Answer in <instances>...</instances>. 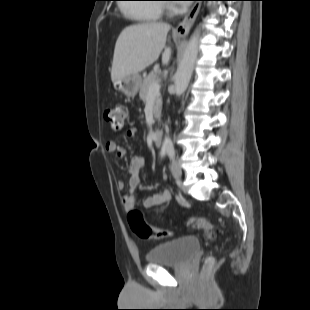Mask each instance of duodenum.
<instances>
[{
  "instance_id": "1",
  "label": "duodenum",
  "mask_w": 310,
  "mask_h": 310,
  "mask_svg": "<svg viewBox=\"0 0 310 310\" xmlns=\"http://www.w3.org/2000/svg\"><path fill=\"white\" fill-rule=\"evenodd\" d=\"M163 132L161 130H156L152 133V142L155 146H160L162 143Z\"/></svg>"
}]
</instances>
